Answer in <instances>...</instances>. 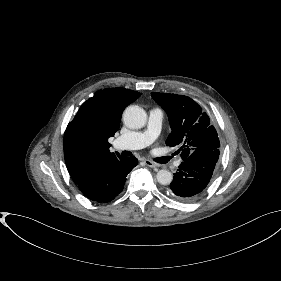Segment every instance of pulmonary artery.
Segmentation results:
<instances>
[{"mask_svg": "<svg viewBox=\"0 0 281 281\" xmlns=\"http://www.w3.org/2000/svg\"><path fill=\"white\" fill-rule=\"evenodd\" d=\"M163 120V112L159 108L149 111L147 127L144 131L129 132L115 140L118 149L138 150L150 145L159 135Z\"/></svg>", "mask_w": 281, "mask_h": 281, "instance_id": "obj_1", "label": "pulmonary artery"}]
</instances>
